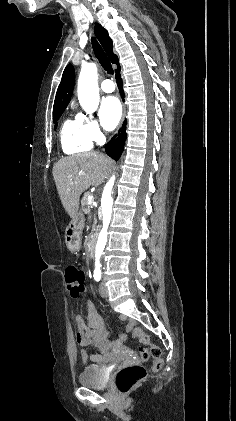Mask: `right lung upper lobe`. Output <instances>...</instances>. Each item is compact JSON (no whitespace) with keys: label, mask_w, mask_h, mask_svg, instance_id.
I'll use <instances>...</instances> for the list:
<instances>
[{"label":"right lung upper lobe","mask_w":236,"mask_h":421,"mask_svg":"<svg viewBox=\"0 0 236 421\" xmlns=\"http://www.w3.org/2000/svg\"><path fill=\"white\" fill-rule=\"evenodd\" d=\"M94 30H95V34L98 40L103 46L110 61L113 64H116L118 66V68L116 69L117 71L120 68V65H119L117 55L113 53V44H112V40L110 39L108 35V32L100 24H97ZM74 82H75L74 68L71 64H69L67 65V67L65 68L63 72L62 80L56 93L53 110L63 109L67 107L70 101V98L72 96Z\"/></svg>","instance_id":"right-lung-upper-lobe-1"}]
</instances>
